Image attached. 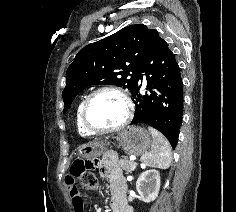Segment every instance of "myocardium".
Instances as JSON below:
<instances>
[{
    "label": "myocardium",
    "mask_w": 236,
    "mask_h": 212,
    "mask_svg": "<svg viewBox=\"0 0 236 212\" xmlns=\"http://www.w3.org/2000/svg\"><path fill=\"white\" fill-rule=\"evenodd\" d=\"M102 92L116 93L117 95H119L122 98V100L126 106V113H125V117H124L123 121L120 124H118L117 126L112 127V128H104V129L95 128L88 121L89 105H90L92 99L96 95H98ZM133 113H134V104H133L130 96L127 94V92L125 90H123L121 87H118L115 85H104V86H101V87L95 89L89 95H87V97L83 101L80 116H81L82 125L89 133H91V134H110V133H115V132H119V131L123 130L131 122L132 117H133Z\"/></svg>",
    "instance_id": "1"
}]
</instances>
